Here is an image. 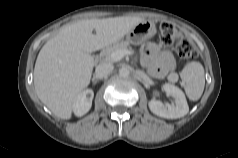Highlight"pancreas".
Here are the masks:
<instances>
[{"label":"pancreas","instance_id":"pancreas-1","mask_svg":"<svg viewBox=\"0 0 238 158\" xmlns=\"http://www.w3.org/2000/svg\"><path fill=\"white\" fill-rule=\"evenodd\" d=\"M128 47H129V42L127 41L119 42L117 44H114L113 46L106 48L103 51V54L107 61H114L111 57V54L117 50H128Z\"/></svg>","mask_w":238,"mask_h":158}]
</instances>
